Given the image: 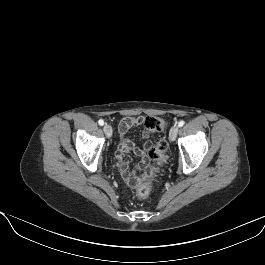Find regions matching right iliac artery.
Here are the masks:
<instances>
[{
	"label": "right iliac artery",
	"instance_id": "obj_1",
	"mask_svg": "<svg viewBox=\"0 0 265 265\" xmlns=\"http://www.w3.org/2000/svg\"><path fill=\"white\" fill-rule=\"evenodd\" d=\"M98 123H99L100 126H103V125H104V121H103L102 119H100V120L98 121Z\"/></svg>",
	"mask_w": 265,
	"mask_h": 265
}]
</instances>
